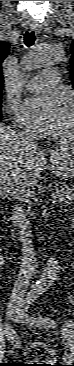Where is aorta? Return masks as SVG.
Masks as SVG:
<instances>
[{
  "label": "aorta",
  "mask_w": 74,
  "mask_h": 366,
  "mask_svg": "<svg viewBox=\"0 0 74 366\" xmlns=\"http://www.w3.org/2000/svg\"><path fill=\"white\" fill-rule=\"evenodd\" d=\"M63 58L64 49L61 45L55 43H39L23 60V77L28 78L33 71L41 68L56 66L62 62ZM54 260V258H50L48 260V266L53 264L55 262Z\"/></svg>",
  "instance_id": "obj_1"
}]
</instances>
